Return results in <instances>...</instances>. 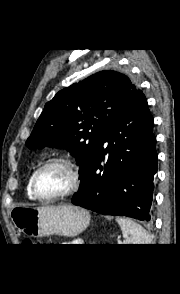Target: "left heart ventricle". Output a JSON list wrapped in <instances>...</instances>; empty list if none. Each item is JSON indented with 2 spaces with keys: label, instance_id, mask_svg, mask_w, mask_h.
Segmentation results:
<instances>
[{
  "label": "left heart ventricle",
  "instance_id": "1",
  "mask_svg": "<svg viewBox=\"0 0 180 294\" xmlns=\"http://www.w3.org/2000/svg\"><path fill=\"white\" fill-rule=\"evenodd\" d=\"M71 184V175L62 165L45 169L38 177L37 188L43 196H53L64 192Z\"/></svg>",
  "mask_w": 180,
  "mask_h": 294
}]
</instances>
